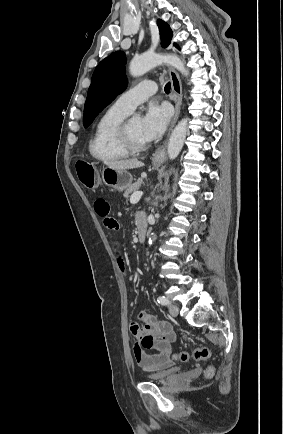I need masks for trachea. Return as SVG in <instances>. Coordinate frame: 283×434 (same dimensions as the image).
Instances as JSON below:
<instances>
[{
    "mask_svg": "<svg viewBox=\"0 0 283 434\" xmlns=\"http://www.w3.org/2000/svg\"><path fill=\"white\" fill-rule=\"evenodd\" d=\"M170 89H171V84H170V82H168L164 87L165 93L169 94Z\"/></svg>",
    "mask_w": 283,
    "mask_h": 434,
    "instance_id": "trachea-1",
    "label": "trachea"
}]
</instances>
